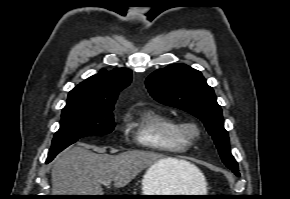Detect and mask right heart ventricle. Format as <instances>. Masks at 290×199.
I'll use <instances>...</instances> for the list:
<instances>
[{
    "label": "right heart ventricle",
    "mask_w": 290,
    "mask_h": 199,
    "mask_svg": "<svg viewBox=\"0 0 290 199\" xmlns=\"http://www.w3.org/2000/svg\"><path fill=\"white\" fill-rule=\"evenodd\" d=\"M127 129L140 145L151 150L177 154L190 147V142L177 133L176 121L154 109L129 116Z\"/></svg>",
    "instance_id": "1"
}]
</instances>
